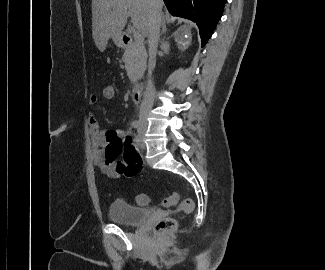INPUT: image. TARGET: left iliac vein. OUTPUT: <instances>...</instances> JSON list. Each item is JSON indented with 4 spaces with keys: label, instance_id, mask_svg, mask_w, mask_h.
<instances>
[{
    "label": "left iliac vein",
    "instance_id": "1",
    "mask_svg": "<svg viewBox=\"0 0 325 270\" xmlns=\"http://www.w3.org/2000/svg\"><path fill=\"white\" fill-rule=\"evenodd\" d=\"M144 134H145V126H141L138 130V146L141 148V149H144L145 147V144H144V141H143V138H144Z\"/></svg>",
    "mask_w": 325,
    "mask_h": 270
}]
</instances>
